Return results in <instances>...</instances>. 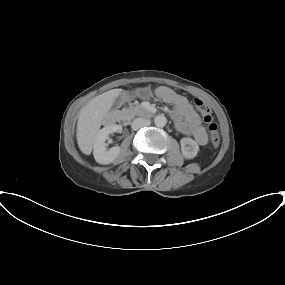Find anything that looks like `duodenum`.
Instances as JSON below:
<instances>
[{
  "label": "duodenum",
  "mask_w": 285,
  "mask_h": 285,
  "mask_svg": "<svg viewBox=\"0 0 285 285\" xmlns=\"http://www.w3.org/2000/svg\"><path fill=\"white\" fill-rule=\"evenodd\" d=\"M137 113L143 117H150L155 113V109L152 107H141L137 109ZM119 120H122L120 117Z\"/></svg>",
  "instance_id": "obj_1"
}]
</instances>
